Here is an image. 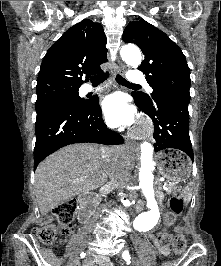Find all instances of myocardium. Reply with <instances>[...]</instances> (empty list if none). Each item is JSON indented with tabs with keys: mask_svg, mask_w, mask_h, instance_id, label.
I'll list each match as a JSON object with an SVG mask.
<instances>
[{
	"mask_svg": "<svg viewBox=\"0 0 221 266\" xmlns=\"http://www.w3.org/2000/svg\"><path fill=\"white\" fill-rule=\"evenodd\" d=\"M153 126L150 122H143L134 132L133 136L135 138H145L152 134Z\"/></svg>",
	"mask_w": 221,
	"mask_h": 266,
	"instance_id": "myocardium-1",
	"label": "myocardium"
}]
</instances>
